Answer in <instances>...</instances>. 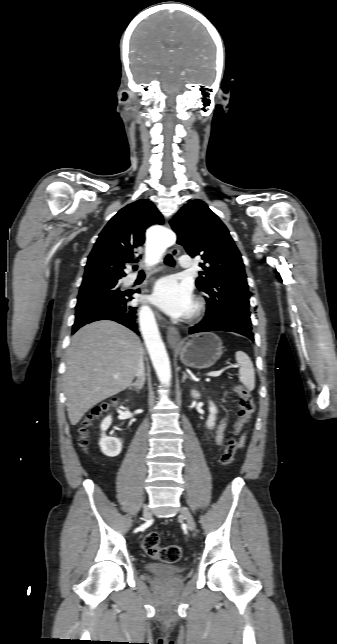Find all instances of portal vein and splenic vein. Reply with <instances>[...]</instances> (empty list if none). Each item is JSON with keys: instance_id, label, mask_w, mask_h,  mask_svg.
<instances>
[{"instance_id": "18ae733b", "label": "portal vein and splenic vein", "mask_w": 337, "mask_h": 644, "mask_svg": "<svg viewBox=\"0 0 337 644\" xmlns=\"http://www.w3.org/2000/svg\"><path fill=\"white\" fill-rule=\"evenodd\" d=\"M221 373H222L221 371H213V372L207 373V376H209V377H218V376L221 375ZM115 377L117 378V376H115Z\"/></svg>"}]
</instances>
